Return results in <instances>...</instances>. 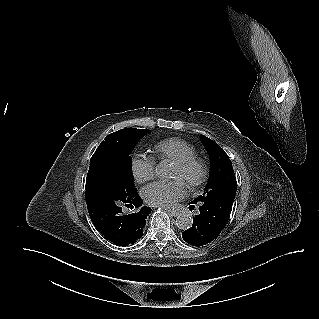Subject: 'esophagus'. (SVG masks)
I'll list each match as a JSON object with an SVG mask.
<instances>
[{"mask_svg": "<svg viewBox=\"0 0 319 319\" xmlns=\"http://www.w3.org/2000/svg\"><path fill=\"white\" fill-rule=\"evenodd\" d=\"M168 213L174 217L179 215V212L176 210H172V209H167Z\"/></svg>", "mask_w": 319, "mask_h": 319, "instance_id": "obj_1", "label": "esophagus"}]
</instances>
